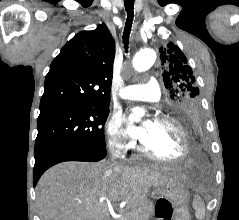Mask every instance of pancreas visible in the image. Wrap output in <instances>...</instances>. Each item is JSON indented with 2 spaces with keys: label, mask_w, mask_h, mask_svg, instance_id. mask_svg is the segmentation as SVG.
Returning <instances> with one entry per match:
<instances>
[{
  "label": "pancreas",
  "mask_w": 239,
  "mask_h": 220,
  "mask_svg": "<svg viewBox=\"0 0 239 220\" xmlns=\"http://www.w3.org/2000/svg\"><path fill=\"white\" fill-rule=\"evenodd\" d=\"M153 214V207L151 205L140 207L126 212V220H149Z\"/></svg>",
  "instance_id": "1"
}]
</instances>
